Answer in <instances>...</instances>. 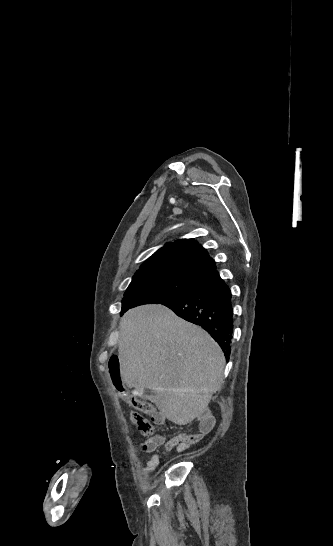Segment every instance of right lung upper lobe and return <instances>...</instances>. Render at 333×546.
I'll return each mask as SVG.
<instances>
[{"mask_svg":"<svg viewBox=\"0 0 333 546\" xmlns=\"http://www.w3.org/2000/svg\"><path fill=\"white\" fill-rule=\"evenodd\" d=\"M215 269L214 260L197 241L179 239L156 251L141 265L135 275L165 273L203 280Z\"/></svg>","mask_w":333,"mask_h":546,"instance_id":"right-lung-upper-lobe-1","label":"right lung upper lobe"}]
</instances>
